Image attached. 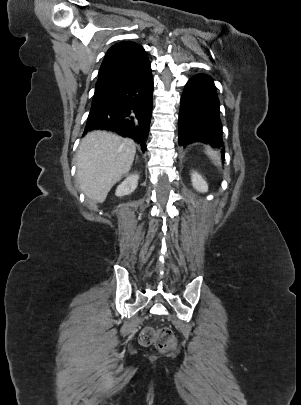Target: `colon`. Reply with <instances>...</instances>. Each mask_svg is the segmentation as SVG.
<instances>
[{
  "instance_id": "5ec220e1",
  "label": "colon",
  "mask_w": 301,
  "mask_h": 405,
  "mask_svg": "<svg viewBox=\"0 0 301 405\" xmlns=\"http://www.w3.org/2000/svg\"><path fill=\"white\" fill-rule=\"evenodd\" d=\"M139 343L142 346L154 345L158 351L166 352L176 346V337L172 330L167 327L159 329L146 327L139 335Z\"/></svg>"
}]
</instances>
